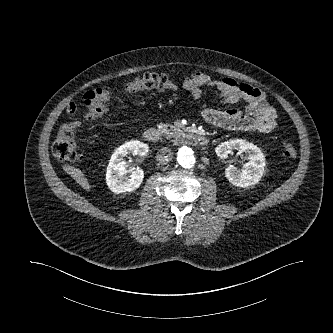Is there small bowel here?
<instances>
[{"mask_svg":"<svg viewBox=\"0 0 333 333\" xmlns=\"http://www.w3.org/2000/svg\"><path fill=\"white\" fill-rule=\"evenodd\" d=\"M182 87L188 91L190 101L198 99L203 89L215 90L224 104H235L241 100L247 104L246 112L236 108L218 110L207 108L202 118L208 124L246 132L269 133L276 126V111L270 106L264 93L251 85L239 83L233 78L214 79L206 73L195 71L183 81ZM77 106L70 103L66 109L69 119H73Z\"/></svg>","mask_w":333,"mask_h":333,"instance_id":"c3829d8e","label":"small bowel"}]
</instances>
